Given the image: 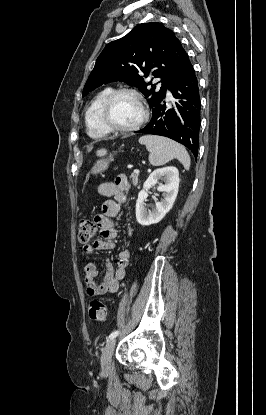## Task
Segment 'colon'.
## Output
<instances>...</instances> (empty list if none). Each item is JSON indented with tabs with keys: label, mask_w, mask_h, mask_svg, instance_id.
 Segmentation results:
<instances>
[{
	"label": "colon",
	"mask_w": 266,
	"mask_h": 415,
	"mask_svg": "<svg viewBox=\"0 0 266 415\" xmlns=\"http://www.w3.org/2000/svg\"><path fill=\"white\" fill-rule=\"evenodd\" d=\"M98 226L89 219H82L78 224V240L82 244L90 242L97 234ZM89 316L96 322H104L108 318V308L100 300H92L89 304Z\"/></svg>",
	"instance_id": "obj_1"
}]
</instances>
